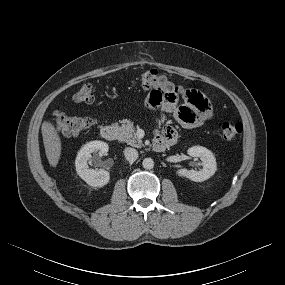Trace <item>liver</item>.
<instances>
[{
	"label": "liver",
	"instance_id": "liver-1",
	"mask_svg": "<svg viewBox=\"0 0 285 285\" xmlns=\"http://www.w3.org/2000/svg\"><path fill=\"white\" fill-rule=\"evenodd\" d=\"M41 129L46 157L49 164L56 167L62 150L60 136L51 122L44 121Z\"/></svg>",
	"mask_w": 285,
	"mask_h": 285
}]
</instances>
